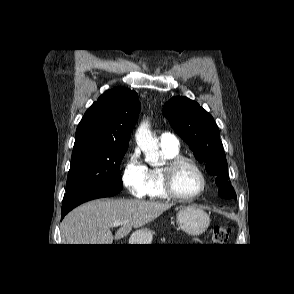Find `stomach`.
<instances>
[{
  "mask_svg": "<svg viewBox=\"0 0 294 294\" xmlns=\"http://www.w3.org/2000/svg\"><path fill=\"white\" fill-rule=\"evenodd\" d=\"M177 222L184 232L192 236H197L209 227L210 218L202 209L194 206H186L178 211ZM151 235L152 232L150 230L141 229L135 233L134 237L137 239V244H143L145 239Z\"/></svg>",
  "mask_w": 294,
  "mask_h": 294,
  "instance_id": "obj_1",
  "label": "stomach"
}]
</instances>
